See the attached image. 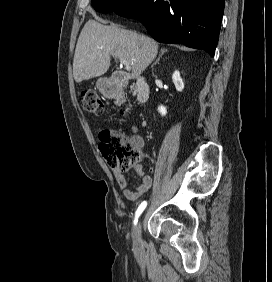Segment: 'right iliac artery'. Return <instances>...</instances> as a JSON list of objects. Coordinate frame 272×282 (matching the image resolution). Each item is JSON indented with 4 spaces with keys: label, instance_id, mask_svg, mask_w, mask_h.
<instances>
[{
    "label": "right iliac artery",
    "instance_id": "1",
    "mask_svg": "<svg viewBox=\"0 0 272 282\" xmlns=\"http://www.w3.org/2000/svg\"><path fill=\"white\" fill-rule=\"evenodd\" d=\"M146 205H147V202H146V201H143V202L139 205V207H138V209H137V211H136V214H135L134 224L137 223L138 217H139L140 214L143 212V210L146 208Z\"/></svg>",
    "mask_w": 272,
    "mask_h": 282
}]
</instances>
